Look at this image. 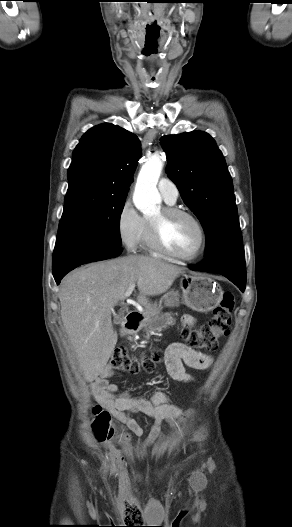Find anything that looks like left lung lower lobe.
<instances>
[{"instance_id":"1","label":"left lung lower lobe","mask_w":292,"mask_h":527,"mask_svg":"<svg viewBox=\"0 0 292 527\" xmlns=\"http://www.w3.org/2000/svg\"><path fill=\"white\" fill-rule=\"evenodd\" d=\"M192 270L219 273L232 281L242 292L246 286V265L244 253L222 254L206 259L197 265H189Z\"/></svg>"}]
</instances>
